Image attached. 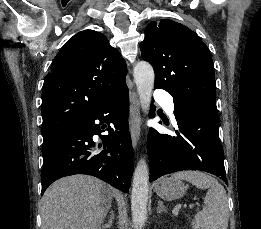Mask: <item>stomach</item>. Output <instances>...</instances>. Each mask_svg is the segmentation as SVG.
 <instances>
[{
  "instance_id": "1",
  "label": "stomach",
  "mask_w": 261,
  "mask_h": 229,
  "mask_svg": "<svg viewBox=\"0 0 261 229\" xmlns=\"http://www.w3.org/2000/svg\"><path fill=\"white\" fill-rule=\"evenodd\" d=\"M154 191L163 201H175V199L184 197L187 187L183 185L182 181L169 177V179L156 181Z\"/></svg>"
}]
</instances>
